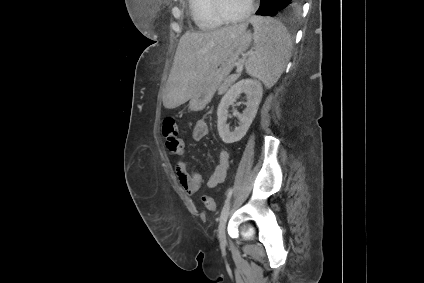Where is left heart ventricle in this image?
I'll list each match as a JSON object with an SVG mask.
<instances>
[{
	"label": "left heart ventricle",
	"mask_w": 424,
	"mask_h": 283,
	"mask_svg": "<svg viewBox=\"0 0 424 283\" xmlns=\"http://www.w3.org/2000/svg\"><path fill=\"white\" fill-rule=\"evenodd\" d=\"M224 11L230 16H239L249 7L250 0H222Z\"/></svg>",
	"instance_id": "1"
}]
</instances>
